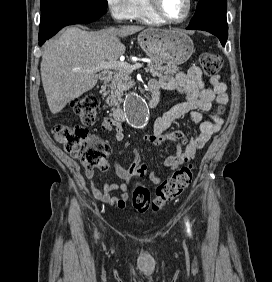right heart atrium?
<instances>
[{
	"mask_svg": "<svg viewBox=\"0 0 272 282\" xmlns=\"http://www.w3.org/2000/svg\"><path fill=\"white\" fill-rule=\"evenodd\" d=\"M139 0H106L108 11L116 21H125L133 18L139 7Z\"/></svg>",
	"mask_w": 272,
	"mask_h": 282,
	"instance_id": "right-heart-atrium-1",
	"label": "right heart atrium"
}]
</instances>
